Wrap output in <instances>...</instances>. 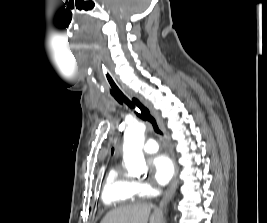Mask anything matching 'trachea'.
I'll return each mask as SVG.
<instances>
[{
  "instance_id": "obj_1",
  "label": "trachea",
  "mask_w": 267,
  "mask_h": 223,
  "mask_svg": "<svg viewBox=\"0 0 267 223\" xmlns=\"http://www.w3.org/2000/svg\"><path fill=\"white\" fill-rule=\"evenodd\" d=\"M105 75H106V80L109 86L113 89L112 96L114 97V99L120 104H126L128 107L132 109H137V111H135L136 115L140 119L144 121H148L152 125L154 131L157 134H162L155 118L150 114V111L148 110V108H146L137 98H132V100H130L123 93L118 82L114 79V77L108 71L106 72Z\"/></svg>"
}]
</instances>
